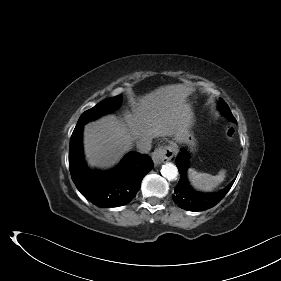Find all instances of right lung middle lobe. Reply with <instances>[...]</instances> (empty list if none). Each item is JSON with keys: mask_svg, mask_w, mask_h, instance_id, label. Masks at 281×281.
Returning a JSON list of instances; mask_svg holds the SVG:
<instances>
[{"mask_svg": "<svg viewBox=\"0 0 281 281\" xmlns=\"http://www.w3.org/2000/svg\"><path fill=\"white\" fill-rule=\"evenodd\" d=\"M122 102V95L105 99L93 108L85 111L79 118L76 126H81L90 120H94L101 115L109 113L117 108Z\"/></svg>", "mask_w": 281, "mask_h": 281, "instance_id": "dd1d6c3e", "label": "right lung middle lobe"}]
</instances>
